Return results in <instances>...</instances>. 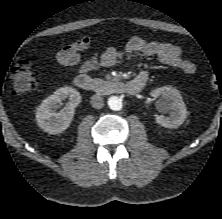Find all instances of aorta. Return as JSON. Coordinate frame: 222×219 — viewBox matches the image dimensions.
<instances>
[{"label": "aorta", "mask_w": 222, "mask_h": 219, "mask_svg": "<svg viewBox=\"0 0 222 219\" xmlns=\"http://www.w3.org/2000/svg\"><path fill=\"white\" fill-rule=\"evenodd\" d=\"M108 105H109L110 109H112L114 111L120 110L123 106L122 100L117 96L110 97L108 99Z\"/></svg>", "instance_id": "obj_1"}]
</instances>
